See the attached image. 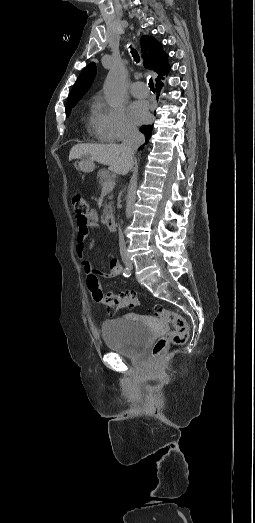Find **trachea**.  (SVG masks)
Here are the masks:
<instances>
[{
    "mask_svg": "<svg viewBox=\"0 0 255 523\" xmlns=\"http://www.w3.org/2000/svg\"><path fill=\"white\" fill-rule=\"evenodd\" d=\"M131 53H132V56H133L135 62L139 63L140 62V58H139V55H138L137 51L132 48L131 49ZM148 85L150 87V90L155 91L154 82H153L152 78H150Z\"/></svg>",
    "mask_w": 255,
    "mask_h": 523,
    "instance_id": "3493384b",
    "label": "trachea"
}]
</instances>
